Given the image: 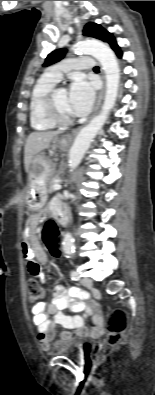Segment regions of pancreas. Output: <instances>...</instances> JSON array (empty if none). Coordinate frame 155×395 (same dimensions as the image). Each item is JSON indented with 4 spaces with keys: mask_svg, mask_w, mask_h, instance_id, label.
<instances>
[{
    "mask_svg": "<svg viewBox=\"0 0 155 395\" xmlns=\"http://www.w3.org/2000/svg\"><path fill=\"white\" fill-rule=\"evenodd\" d=\"M58 179H59V176H52V177L48 180V182H47V191H48L49 193H52V192L55 191L54 188H53V185H54L56 182L59 181Z\"/></svg>",
    "mask_w": 155,
    "mask_h": 395,
    "instance_id": "pancreas-1",
    "label": "pancreas"
}]
</instances>
